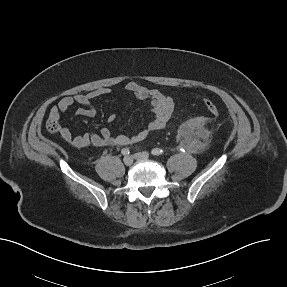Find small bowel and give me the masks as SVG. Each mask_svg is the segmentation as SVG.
I'll return each mask as SVG.
<instances>
[{
  "instance_id": "c3829d8e",
  "label": "small bowel",
  "mask_w": 287,
  "mask_h": 287,
  "mask_svg": "<svg viewBox=\"0 0 287 287\" xmlns=\"http://www.w3.org/2000/svg\"><path fill=\"white\" fill-rule=\"evenodd\" d=\"M125 89L128 94L138 100L147 102L151 108L153 118L144 130L134 135H113L109 128H102L98 133L87 132L75 135L67 127H62V139L66 143L78 148L90 145L97 147L126 146L138 143L144 140L150 133L163 129L166 126L174 110V101L171 96L156 89H148L134 81L128 82ZM109 93V88H99L85 94L63 97L56 106L51 108L50 116L53 119L59 120L61 115L69 111L73 105L78 104L81 107L75 111L76 115L93 117L96 114V110L92 102ZM115 118L116 116L112 114L109 116V121L112 122Z\"/></svg>"
}]
</instances>
